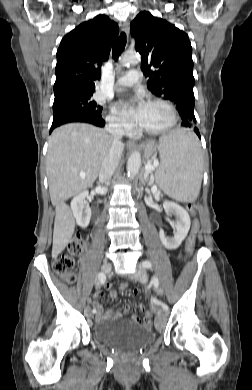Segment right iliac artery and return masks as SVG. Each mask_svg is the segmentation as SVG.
I'll use <instances>...</instances> for the list:
<instances>
[{"label": "right iliac artery", "instance_id": "right-iliac-artery-1", "mask_svg": "<svg viewBox=\"0 0 252 390\" xmlns=\"http://www.w3.org/2000/svg\"><path fill=\"white\" fill-rule=\"evenodd\" d=\"M101 277V282L102 284L104 283V281L106 280V277H105V274L104 273H99V278ZM92 313L93 314H96L97 313V310L96 309H93L92 310Z\"/></svg>", "mask_w": 252, "mask_h": 390}]
</instances>
